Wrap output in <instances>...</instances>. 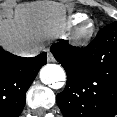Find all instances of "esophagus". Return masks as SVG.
<instances>
[{
	"mask_svg": "<svg viewBox=\"0 0 117 117\" xmlns=\"http://www.w3.org/2000/svg\"><path fill=\"white\" fill-rule=\"evenodd\" d=\"M47 61L48 62H54L55 61L54 56L50 52L47 53Z\"/></svg>",
	"mask_w": 117,
	"mask_h": 117,
	"instance_id": "obj_1",
	"label": "esophagus"
}]
</instances>
